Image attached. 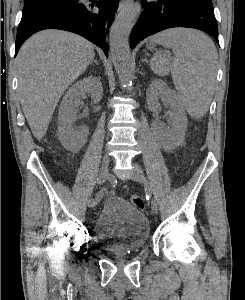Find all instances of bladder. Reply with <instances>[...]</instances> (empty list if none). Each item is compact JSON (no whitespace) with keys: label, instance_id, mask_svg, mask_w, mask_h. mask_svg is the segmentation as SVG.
Returning <instances> with one entry per match:
<instances>
[{"label":"bladder","instance_id":"obj_1","mask_svg":"<svg viewBox=\"0 0 245 300\" xmlns=\"http://www.w3.org/2000/svg\"><path fill=\"white\" fill-rule=\"evenodd\" d=\"M92 232L103 248L120 254L142 248L148 240L150 226L140 210L126 200L112 196L95 218Z\"/></svg>","mask_w":245,"mask_h":300}]
</instances>
